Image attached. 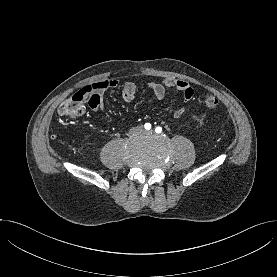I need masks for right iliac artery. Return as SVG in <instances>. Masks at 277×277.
Masks as SVG:
<instances>
[{
  "mask_svg": "<svg viewBox=\"0 0 277 277\" xmlns=\"http://www.w3.org/2000/svg\"><path fill=\"white\" fill-rule=\"evenodd\" d=\"M144 127H145L146 130H150L151 129V124L150 123H146L144 125Z\"/></svg>",
  "mask_w": 277,
  "mask_h": 277,
  "instance_id": "82829eb1",
  "label": "right iliac artery"
}]
</instances>
